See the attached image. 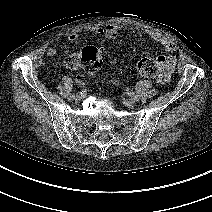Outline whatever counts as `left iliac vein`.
Here are the masks:
<instances>
[{
    "label": "left iliac vein",
    "instance_id": "left-iliac-vein-1",
    "mask_svg": "<svg viewBox=\"0 0 212 212\" xmlns=\"http://www.w3.org/2000/svg\"><path fill=\"white\" fill-rule=\"evenodd\" d=\"M124 104L129 108H133L135 105V99H133V98L126 99V100H124Z\"/></svg>",
    "mask_w": 212,
    "mask_h": 212
}]
</instances>
